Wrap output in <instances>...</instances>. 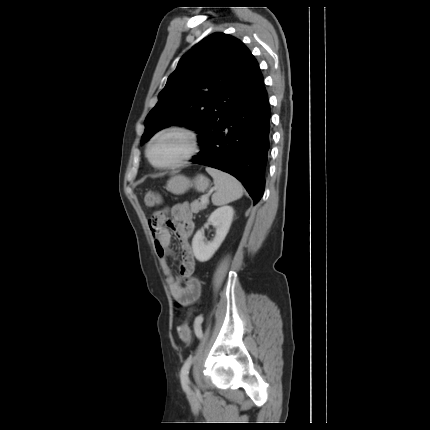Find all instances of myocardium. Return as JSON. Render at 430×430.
Here are the masks:
<instances>
[{
	"instance_id": "1",
	"label": "myocardium",
	"mask_w": 430,
	"mask_h": 430,
	"mask_svg": "<svg viewBox=\"0 0 430 430\" xmlns=\"http://www.w3.org/2000/svg\"><path fill=\"white\" fill-rule=\"evenodd\" d=\"M170 132H179L184 134L189 141V146H188V150L187 152L181 156L180 158H178L177 160H175L172 163L169 164H165V165H161L156 163L152 156H151V149L153 144L156 142L157 139H159L161 136L170 133ZM199 148H200V143H199V137L198 134L186 127V126H181V125H172L166 128H163L161 130H159L157 133H155L148 141L147 145H146V149H145V154H146V158L149 161V163L157 168V169H161V170H169V169H174L177 168L185 163H187L188 161H190L193 157H195L198 152H199Z\"/></svg>"
}]
</instances>
